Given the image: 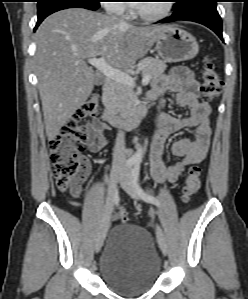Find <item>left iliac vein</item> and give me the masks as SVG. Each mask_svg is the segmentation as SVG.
I'll use <instances>...</instances> for the list:
<instances>
[{
    "mask_svg": "<svg viewBox=\"0 0 248 299\" xmlns=\"http://www.w3.org/2000/svg\"><path fill=\"white\" fill-rule=\"evenodd\" d=\"M119 183L122 186V188L129 194L130 197L139 200V194L135 188V185L133 183L132 179V170L130 168L125 169L121 174L119 178ZM157 240L159 247L163 254L166 255L167 253V241L164 233L159 228L157 231Z\"/></svg>",
    "mask_w": 248,
    "mask_h": 299,
    "instance_id": "4c4485c4",
    "label": "left iliac vein"
}]
</instances>
